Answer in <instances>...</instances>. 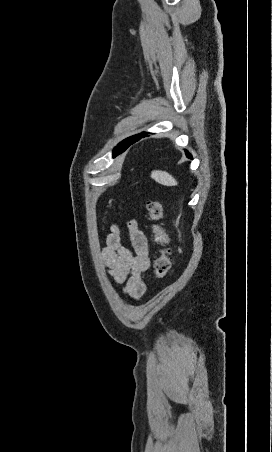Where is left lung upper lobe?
<instances>
[{
	"label": "left lung upper lobe",
	"instance_id": "obj_1",
	"mask_svg": "<svg viewBox=\"0 0 272 452\" xmlns=\"http://www.w3.org/2000/svg\"><path fill=\"white\" fill-rule=\"evenodd\" d=\"M131 139V137L130 138H127V139H125L124 140V142L120 145V148L122 149H126L127 147H128V142H129V140Z\"/></svg>",
	"mask_w": 272,
	"mask_h": 452
}]
</instances>
